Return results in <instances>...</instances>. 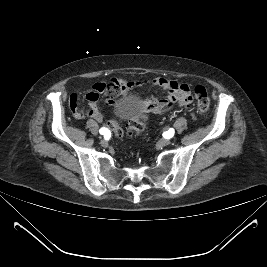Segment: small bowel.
Returning a JSON list of instances; mask_svg holds the SVG:
<instances>
[{
	"label": "small bowel",
	"mask_w": 267,
	"mask_h": 267,
	"mask_svg": "<svg viewBox=\"0 0 267 267\" xmlns=\"http://www.w3.org/2000/svg\"><path fill=\"white\" fill-rule=\"evenodd\" d=\"M147 87H159L166 90L167 95L162 98L152 96L141 101V106L145 112L162 114L169 110L173 104H178L187 110L190 109L192 102L190 87L185 83L161 77L138 81L114 78L109 84L97 82L92 85L91 91L85 95L88 105L84 110L79 108L78 96L76 94H72L70 97V107L76 118H82L86 113L95 120L100 121L102 117L97 108L100 94H105V102L108 105H113L115 103L114 98L117 95H127L136 89Z\"/></svg>",
	"instance_id": "c3829d8e"
}]
</instances>
